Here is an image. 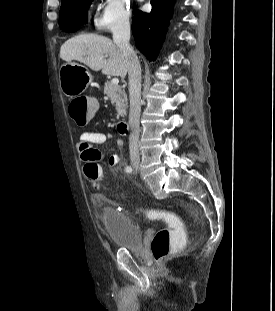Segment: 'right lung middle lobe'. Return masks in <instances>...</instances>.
<instances>
[{"mask_svg":"<svg viewBox=\"0 0 275 311\" xmlns=\"http://www.w3.org/2000/svg\"><path fill=\"white\" fill-rule=\"evenodd\" d=\"M93 0H66L61 4L59 25L64 31H75L86 21V12Z\"/></svg>","mask_w":275,"mask_h":311,"instance_id":"1","label":"right lung middle lobe"}]
</instances>
